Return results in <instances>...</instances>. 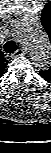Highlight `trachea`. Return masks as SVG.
Listing matches in <instances>:
<instances>
[{
  "instance_id": "trachea-1",
  "label": "trachea",
  "mask_w": 51,
  "mask_h": 153,
  "mask_svg": "<svg viewBox=\"0 0 51 153\" xmlns=\"http://www.w3.org/2000/svg\"><path fill=\"white\" fill-rule=\"evenodd\" d=\"M17 50V45L14 41H8L4 44V51L8 54H12Z\"/></svg>"
}]
</instances>
